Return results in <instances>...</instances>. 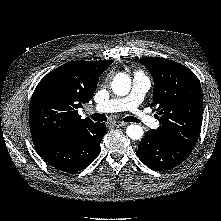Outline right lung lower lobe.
<instances>
[{
  "label": "right lung lower lobe",
  "mask_w": 221,
  "mask_h": 221,
  "mask_svg": "<svg viewBox=\"0 0 221 221\" xmlns=\"http://www.w3.org/2000/svg\"><path fill=\"white\" fill-rule=\"evenodd\" d=\"M106 126L96 123L65 138L34 137L39 154L53 167L69 173L87 167L98 156Z\"/></svg>",
  "instance_id": "1"
}]
</instances>
